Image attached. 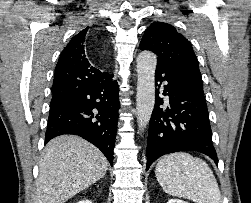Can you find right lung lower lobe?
Wrapping results in <instances>:
<instances>
[{"label": "right lung lower lobe", "mask_w": 251, "mask_h": 203, "mask_svg": "<svg viewBox=\"0 0 251 203\" xmlns=\"http://www.w3.org/2000/svg\"><path fill=\"white\" fill-rule=\"evenodd\" d=\"M111 77L51 104L45 143L63 134L78 135L98 147L113 165L120 104L118 83Z\"/></svg>", "instance_id": "1"}]
</instances>
